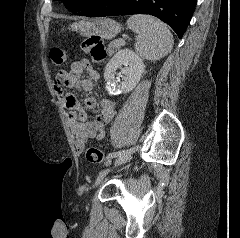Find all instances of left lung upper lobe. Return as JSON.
<instances>
[{"label":"left lung upper lobe","mask_w":240,"mask_h":238,"mask_svg":"<svg viewBox=\"0 0 240 238\" xmlns=\"http://www.w3.org/2000/svg\"><path fill=\"white\" fill-rule=\"evenodd\" d=\"M55 1V0H54ZM64 3L67 9L73 12H81L84 10L93 0H60Z\"/></svg>","instance_id":"left-lung-upper-lobe-1"}]
</instances>
